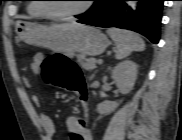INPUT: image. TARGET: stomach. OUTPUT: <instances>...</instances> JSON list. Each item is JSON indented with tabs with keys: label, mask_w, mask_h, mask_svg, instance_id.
<instances>
[{
	"label": "stomach",
	"mask_w": 182,
	"mask_h": 140,
	"mask_svg": "<svg viewBox=\"0 0 182 140\" xmlns=\"http://www.w3.org/2000/svg\"><path fill=\"white\" fill-rule=\"evenodd\" d=\"M15 28L18 37L24 42L67 56H72L75 52L97 56L109 45L107 36L92 26L50 28L34 22L17 21Z\"/></svg>",
	"instance_id": "stomach-1"
}]
</instances>
